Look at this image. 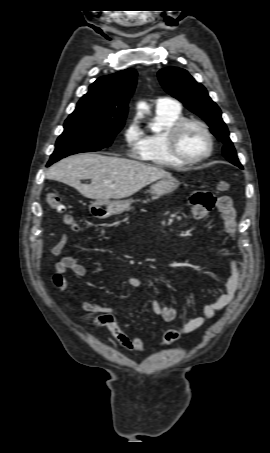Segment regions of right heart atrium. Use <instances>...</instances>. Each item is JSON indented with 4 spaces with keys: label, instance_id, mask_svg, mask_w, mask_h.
<instances>
[{
    "label": "right heart atrium",
    "instance_id": "1",
    "mask_svg": "<svg viewBox=\"0 0 270 453\" xmlns=\"http://www.w3.org/2000/svg\"><path fill=\"white\" fill-rule=\"evenodd\" d=\"M123 138L128 154L130 156L138 154L143 140V133L136 119L131 120L126 126Z\"/></svg>",
    "mask_w": 270,
    "mask_h": 453
}]
</instances>
